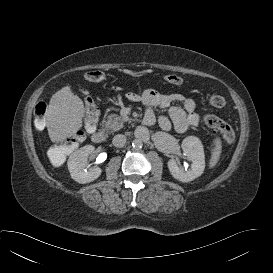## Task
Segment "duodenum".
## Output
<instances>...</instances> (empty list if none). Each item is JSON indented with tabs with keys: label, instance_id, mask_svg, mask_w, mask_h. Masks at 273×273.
Wrapping results in <instances>:
<instances>
[{
	"label": "duodenum",
	"instance_id": "duodenum-1",
	"mask_svg": "<svg viewBox=\"0 0 273 273\" xmlns=\"http://www.w3.org/2000/svg\"><path fill=\"white\" fill-rule=\"evenodd\" d=\"M151 119H152V116H144L143 122L145 124L150 125L151 124L150 123ZM105 138H106V133H105V130L103 128L97 129L92 134V140H93V142H95L97 144L104 142Z\"/></svg>",
	"mask_w": 273,
	"mask_h": 273
}]
</instances>
